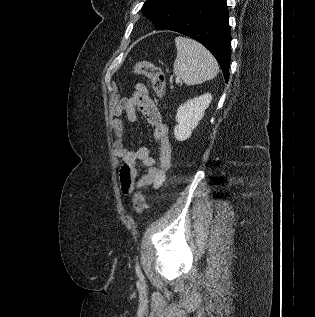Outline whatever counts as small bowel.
I'll return each instance as SVG.
<instances>
[{"mask_svg": "<svg viewBox=\"0 0 315 317\" xmlns=\"http://www.w3.org/2000/svg\"><path fill=\"white\" fill-rule=\"evenodd\" d=\"M140 112L149 125L153 127V136L158 144V159L150 155L147 147L130 149L124 141V125L120 116L124 113L130 122L137 121ZM110 130L115 135L113 155L120 165V186L124 194L130 193L135 186H152L157 189L166 180L171 167L172 148L169 140V130L162 121V116L155 102L143 85L137 86L136 93L115 105L112 109ZM142 165L147 172L138 180V168Z\"/></svg>", "mask_w": 315, "mask_h": 317, "instance_id": "obj_1", "label": "small bowel"}]
</instances>
